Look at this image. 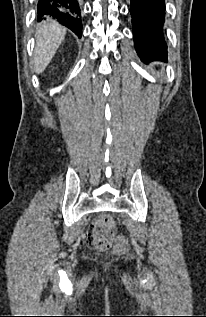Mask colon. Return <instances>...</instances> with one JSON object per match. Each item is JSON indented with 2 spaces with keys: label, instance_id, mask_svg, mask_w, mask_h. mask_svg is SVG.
<instances>
[{
  "label": "colon",
  "instance_id": "colon-1",
  "mask_svg": "<svg viewBox=\"0 0 206 317\" xmlns=\"http://www.w3.org/2000/svg\"><path fill=\"white\" fill-rule=\"evenodd\" d=\"M113 227V218L108 214L103 215L97 226L89 233L90 247L98 251L112 248L118 254L125 253L128 250V242L123 236L115 235Z\"/></svg>",
  "mask_w": 206,
  "mask_h": 317
}]
</instances>
